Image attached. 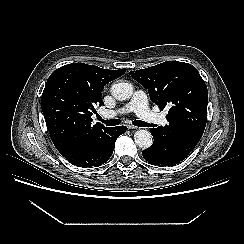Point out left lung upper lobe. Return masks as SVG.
<instances>
[{"instance_id":"1","label":"left lung upper lobe","mask_w":244,"mask_h":244,"mask_svg":"<svg viewBox=\"0 0 244 244\" xmlns=\"http://www.w3.org/2000/svg\"><path fill=\"white\" fill-rule=\"evenodd\" d=\"M129 74L148 90L161 110L170 108L168 125L152 128L153 143L167 146L174 155H188L207 122L208 90L197 69L188 63L166 61Z\"/></svg>"}]
</instances>
